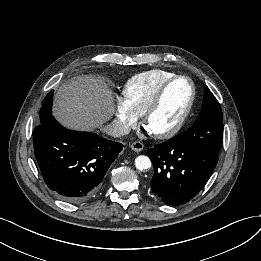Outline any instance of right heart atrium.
Segmentation results:
<instances>
[{
  "label": "right heart atrium",
  "mask_w": 261,
  "mask_h": 261,
  "mask_svg": "<svg viewBox=\"0 0 261 261\" xmlns=\"http://www.w3.org/2000/svg\"><path fill=\"white\" fill-rule=\"evenodd\" d=\"M138 115L132 110L128 103L122 99H117L114 106L113 125L117 132L121 134L127 133L136 125Z\"/></svg>",
  "instance_id": "right-heart-atrium-1"
}]
</instances>
